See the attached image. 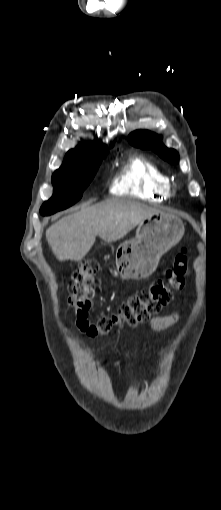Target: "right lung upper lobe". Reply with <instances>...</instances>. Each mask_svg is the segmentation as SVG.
Instances as JSON below:
<instances>
[{
    "label": "right lung upper lobe",
    "mask_w": 221,
    "mask_h": 510,
    "mask_svg": "<svg viewBox=\"0 0 221 510\" xmlns=\"http://www.w3.org/2000/svg\"><path fill=\"white\" fill-rule=\"evenodd\" d=\"M107 152V147L98 141L81 143L67 152L63 164H77L89 158L105 155Z\"/></svg>",
    "instance_id": "cb5924a9"
}]
</instances>
